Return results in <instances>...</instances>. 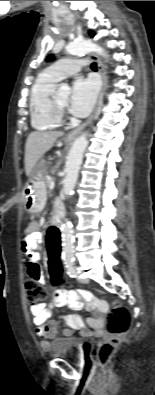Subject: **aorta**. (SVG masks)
I'll use <instances>...</instances> for the list:
<instances>
[{"mask_svg":"<svg viewBox=\"0 0 155 395\" xmlns=\"http://www.w3.org/2000/svg\"><path fill=\"white\" fill-rule=\"evenodd\" d=\"M66 51L71 55L95 52L101 56L106 57L104 50L100 46L87 39L77 40L69 43L66 46ZM69 90V86L62 84L59 89V94L68 95ZM88 135V132H83L78 138H76L68 153L65 167L66 175L63 180V193L66 197H69L75 188L79 169L83 160V155L88 146ZM61 233L63 258L66 261H71L74 258L75 250L72 224L70 221L66 220L62 224Z\"/></svg>","mask_w":155,"mask_h":395,"instance_id":"aorta-1","label":"aorta"}]
</instances>
